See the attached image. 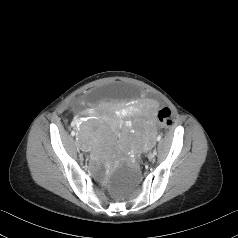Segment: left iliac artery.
<instances>
[{
	"label": "left iliac artery",
	"mask_w": 238,
	"mask_h": 238,
	"mask_svg": "<svg viewBox=\"0 0 238 238\" xmlns=\"http://www.w3.org/2000/svg\"><path fill=\"white\" fill-rule=\"evenodd\" d=\"M160 139H161V136L159 135V136L157 137V141H160Z\"/></svg>",
	"instance_id": "left-iliac-artery-1"
}]
</instances>
